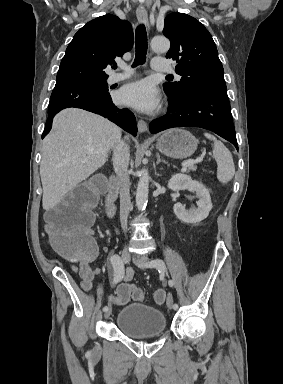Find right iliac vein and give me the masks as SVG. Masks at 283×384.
<instances>
[{"instance_id":"right-iliac-vein-1","label":"right iliac vein","mask_w":283,"mask_h":384,"mask_svg":"<svg viewBox=\"0 0 283 384\" xmlns=\"http://www.w3.org/2000/svg\"><path fill=\"white\" fill-rule=\"evenodd\" d=\"M121 260L123 263H128L129 260H130V253L128 251L127 248H124L121 252ZM111 314V308H108V310H106L104 312V318L107 319ZM100 352V348L99 346H95L94 350H93V355L94 356H97Z\"/></svg>"}]
</instances>
